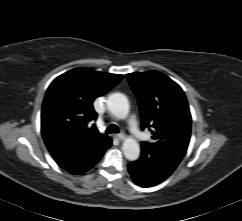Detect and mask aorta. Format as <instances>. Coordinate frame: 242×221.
I'll list each match as a JSON object with an SVG mask.
<instances>
[{"instance_id": "obj_1", "label": "aorta", "mask_w": 242, "mask_h": 221, "mask_svg": "<svg viewBox=\"0 0 242 221\" xmlns=\"http://www.w3.org/2000/svg\"><path fill=\"white\" fill-rule=\"evenodd\" d=\"M109 111L117 118L124 119L129 114V102L125 95L113 93L107 100ZM122 150L126 159L135 161L140 155V146L138 142L131 137L124 140Z\"/></svg>"}]
</instances>
